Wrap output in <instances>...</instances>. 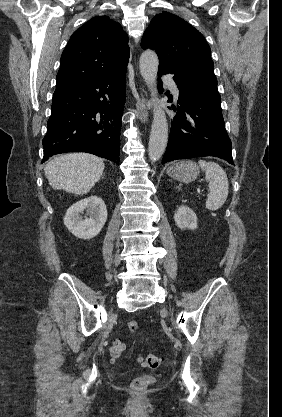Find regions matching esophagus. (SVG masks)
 Here are the masks:
<instances>
[{
    "instance_id": "esophagus-1",
    "label": "esophagus",
    "mask_w": 282,
    "mask_h": 417,
    "mask_svg": "<svg viewBox=\"0 0 282 417\" xmlns=\"http://www.w3.org/2000/svg\"><path fill=\"white\" fill-rule=\"evenodd\" d=\"M147 105L148 103H147L145 96H142L141 99L136 104L140 121L143 122L144 124L148 121Z\"/></svg>"
}]
</instances>
